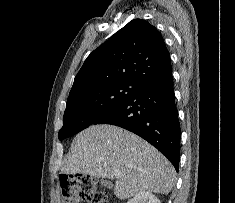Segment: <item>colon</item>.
<instances>
[{
    "label": "colon",
    "instance_id": "colon-1",
    "mask_svg": "<svg viewBox=\"0 0 235 203\" xmlns=\"http://www.w3.org/2000/svg\"><path fill=\"white\" fill-rule=\"evenodd\" d=\"M60 192L62 203H78L81 200L106 203L107 200L106 192L88 175H61Z\"/></svg>",
    "mask_w": 235,
    "mask_h": 203
}]
</instances>
